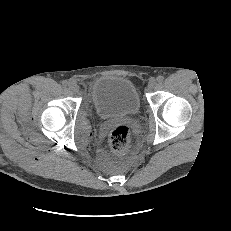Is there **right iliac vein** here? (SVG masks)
<instances>
[{"label": "right iliac vein", "instance_id": "1", "mask_svg": "<svg viewBox=\"0 0 231 231\" xmlns=\"http://www.w3.org/2000/svg\"><path fill=\"white\" fill-rule=\"evenodd\" d=\"M69 90L72 91L73 93H77L79 91V86L76 83L71 82L69 84Z\"/></svg>", "mask_w": 231, "mask_h": 231}]
</instances>
